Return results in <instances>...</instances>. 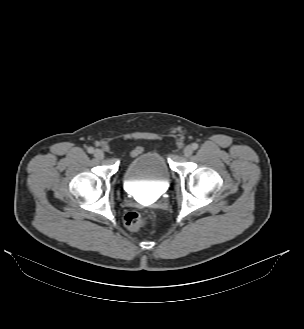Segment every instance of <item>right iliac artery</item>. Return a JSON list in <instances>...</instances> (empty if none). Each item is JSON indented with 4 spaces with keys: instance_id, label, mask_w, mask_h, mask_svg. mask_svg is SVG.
Wrapping results in <instances>:
<instances>
[{
    "instance_id": "right-iliac-artery-1",
    "label": "right iliac artery",
    "mask_w": 304,
    "mask_h": 329,
    "mask_svg": "<svg viewBox=\"0 0 304 329\" xmlns=\"http://www.w3.org/2000/svg\"><path fill=\"white\" fill-rule=\"evenodd\" d=\"M87 151H88V153L92 154V153L94 152V148H93V147H89V148L87 149Z\"/></svg>"
}]
</instances>
